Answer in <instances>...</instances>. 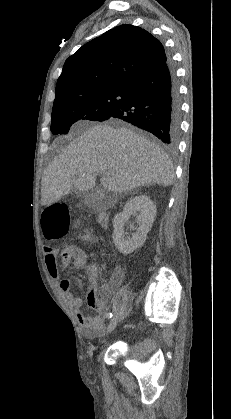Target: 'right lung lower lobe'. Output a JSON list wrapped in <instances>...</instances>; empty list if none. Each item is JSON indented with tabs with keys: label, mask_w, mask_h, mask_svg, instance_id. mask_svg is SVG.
I'll use <instances>...</instances> for the list:
<instances>
[{
	"label": "right lung lower lobe",
	"mask_w": 231,
	"mask_h": 419,
	"mask_svg": "<svg viewBox=\"0 0 231 419\" xmlns=\"http://www.w3.org/2000/svg\"><path fill=\"white\" fill-rule=\"evenodd\" d=\"M109 118L132 123L173 147L179 135L180 98L170 62L166 60L131 84Z\"/></svg>",
	"instance_id": "right-lung-lower-lobe-1"
}]
</instances>
